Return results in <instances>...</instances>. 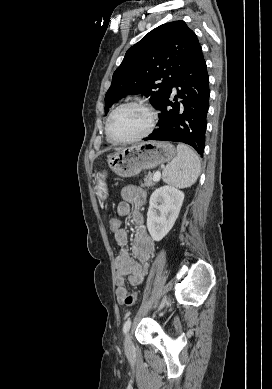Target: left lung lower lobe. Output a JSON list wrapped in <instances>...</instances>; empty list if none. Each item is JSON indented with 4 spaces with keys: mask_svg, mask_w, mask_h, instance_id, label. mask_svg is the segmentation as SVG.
<instances>
[{
    "mask_svg": "<svg viewBox=\"0 0 272 389\" xmlns=\"http://www.w3.org/2000/svg\"><path fill=\"white\" fill-rule=\"evenodd\" d=\"M208 84L206 62L200 48L171 83L167 95L158 106L161 111L159 128L144 140L183 142L191 145L202 155L209 108ZM173 87H177L180 102L176 96L174 102L169 101Z\"/></svg>",
    "mask_w": 272,
    "mask_h": 389,
    "instance_id": "0a47b994",
    "label": "left lung lower lobe"
}]
</instances>
